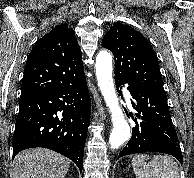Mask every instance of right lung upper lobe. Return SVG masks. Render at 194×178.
<instances>
[{
  "label": "right lung upper lobe",
  "mask_w": 194,
  "mask_h": 178,
  "mask_svg": "<svg viewBox=\"0 0 194 178\" xmlns=\"http://www.w3.org/2000/svg\"><path fill=\"white\" fill-rule=\"evenodd\" d=\"M84 77L75 33L61 24L39 39L27 57L21 97L71 85Z\"/></svg>",
  "instance_id": "1"
}]
</instances>
